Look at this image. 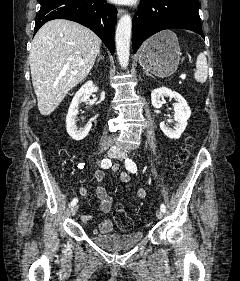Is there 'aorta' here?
Segmentation results:
<instances>
[{"label": "aorta", "instance_id": "1", "mask_svg": "<svg viewBox=\"0 0 240 281\" xmlns=\"http://www.w3.org/2000/svg\"><path fill=\"white\" fill-rule=\"evenodd\" d=\"M131 29L132 20L130 15H122L117 24L115 42L118 60L123 68H126L129 63Z\"/></svg>", "mask_w": 240, "mask_h": 281}]
</instances>
